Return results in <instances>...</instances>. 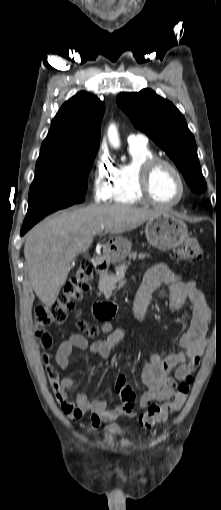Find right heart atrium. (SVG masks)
I'll return each mask as SVG.
<instances>
[{
  "mask_svg": "<svg viewBox=\"0 0 221 510\" xmlns=\"http://www.w3.org/2000/svg\"><path fill=\"white\" fill-rule=\"evenodd\" d=\"M114 168L108 155L100 150L95 159L92 179V191L96 201L107 202L111 199Z\"/></svg>",
  "mask_w": 221,
  "mask_h": 510,
  "instance_id": "1",
  "label": "right heart atrium"
}]
</instances>
